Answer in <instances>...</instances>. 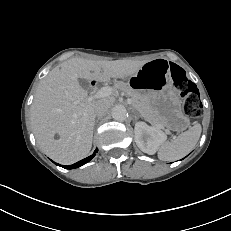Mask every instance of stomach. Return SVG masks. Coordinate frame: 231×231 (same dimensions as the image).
I'll use <instances>...</instances> for the list:
<instances>
[{
    "label": "stomach",
    "mask_w": 231,
    "mask_h": 231,
    "mask_svg": "<svg viewBox=\"0 0 231 231\" xmlns=\"http://www.w3.org/2000/svg\"><path fill=\"white\" fill-rule=\"evenodd\" d=\"M130 79L134 90L148 99L161 125L172 131H183L189 126L190 120L182 110V100L173 87L165 59L146 62Z\"/></svg>",
    "instance_id": "obj_1"
}]
</instances>
